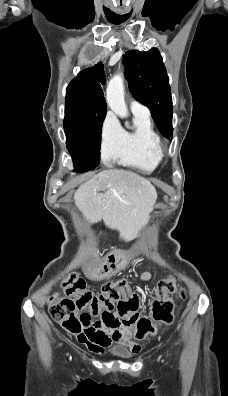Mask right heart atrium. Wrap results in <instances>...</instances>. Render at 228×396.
Here are the masks:
<instances>
[{"label": "right heart atrium", "mask_w": 228, "mask_h": 396, "mask_svg": "<svg viewBox=\"0 0 228 396\" xmlns=\"http://www.w3.org/2000/svg\"><path fill=\"white\" fill-rule=\"evenodd\" d=\"M122 134L123 129L116 118L110 113L106 114L100 132L101 155L105 162H111L116 159Z\"/></svg>", "instance_id": "d8ad5b80"}]
</instances>
